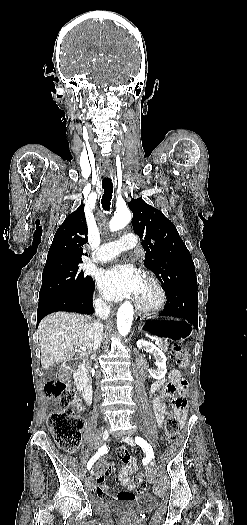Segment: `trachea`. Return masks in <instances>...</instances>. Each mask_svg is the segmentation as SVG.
<instances>
[{"instance_id":"obj_1","label":"trachea","mask_w":247,"mask_h":525,"mask_svg":"<svg viewBox=\"0 0 247 525\" xmlns=\"http://www.w3.org/2000/svg\"><path fill=\"white\" fill-rule=\"evenodd\" d=\"M102 188L104 190L103 196H102V208L105 211L110 210L111 205V199L113 196V184L111 181H103L102 182Z\"/></svg>"}]
</instances>
